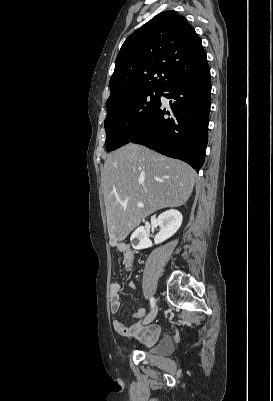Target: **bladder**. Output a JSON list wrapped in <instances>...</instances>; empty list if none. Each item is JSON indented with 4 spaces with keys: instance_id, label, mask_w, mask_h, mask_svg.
I'll return each instance as SVG.
<instances>
[{
    "instance_id": "obj_1",
    "label": "bladder",
    "mask_w": 273,
    "mask_h": 401,
    "mask_svg": "<svg viewBox=\"0 0 273 401\" xmlns=\"http://www.w3.org/2000/svg\"><path fill=\"white\" fill-rule=\"evenodd\" d=\"M174 350H175V341L173 337L170 335H164L161 337L156 347H154L150 351V354L156 356H166L173 353Z\"/></svg>"
}]
</instances>
